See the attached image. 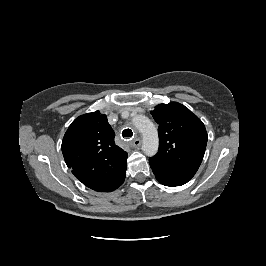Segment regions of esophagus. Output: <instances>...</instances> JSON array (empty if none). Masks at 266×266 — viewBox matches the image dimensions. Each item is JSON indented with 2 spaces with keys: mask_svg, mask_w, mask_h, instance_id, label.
I'll use <instances>...</instances> for the list:
<instances>
[{
  "mask_svg": "<svg viewBox=\"0 0 266 266\" xmlns=\"http://www.w3.org/2000/svg\"><path fill=\"white\" fill-rule=\"evenodd\" d=\"M140 145H141V139L140 138H136L132 141V146L139 147Z\"/></svg>",
  "mask_w": 266,
  "mask_h": 266,
  "instance_id": "34e87169",
  "label": "esophagus"
}]
</instances>
